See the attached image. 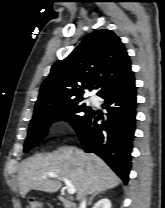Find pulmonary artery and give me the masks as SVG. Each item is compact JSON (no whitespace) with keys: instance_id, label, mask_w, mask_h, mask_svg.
Listing matches in <instances>:
<instances>
[{"instance_id":"pulmonary-artery-1","label":"pulmonary artery","mask_w":165,"mask_h":208,"mask_svg":"<svg viewBox=\"0 0 165 208\" xmlns=\"http://www.w3.org/2000/svg\"><path fill=\"white\" fill-rule=\"evenodd\" d=\"M90 101H91L92 103H97V102H98L97 99H96L95 97H91V98H90Z\"/></svg>"}]
</instances>
